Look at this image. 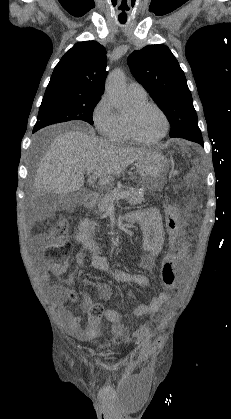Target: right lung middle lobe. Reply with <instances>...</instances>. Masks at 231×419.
I'll list each match as a JSON object with an SVG mask.
<instances>
[{"label": "right lung middle lobe", "instance_id": "obj_1", "mask_svg": "<svg viewBox=\"0 0 231 419\" xmlns=\"http://www.w3.org/2000/svg\"><path fill=\"white\" fill-rule=\"evenodd\" d=\"M99 95H84L67 88L46 89L33 132L54 123L83 120L93 124V110Z\"/></svg>", "mask_w": 231, "mask_h": 419}]
</instances>
